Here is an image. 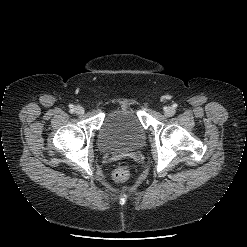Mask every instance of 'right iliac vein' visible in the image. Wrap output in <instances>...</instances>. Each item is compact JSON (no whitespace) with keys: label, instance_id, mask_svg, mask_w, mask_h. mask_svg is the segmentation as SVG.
Returning a JSON list of instances; mask_svg holds the SVG:
<instances>
[{"label":"right iliac vein","instance_id":"obj_1","mask_svg":"<svg viewBox=\"0 0 247 247\" xmlns=\"http://www.w3.org/2000/svg\"><path fill=\"white\" fill-rule=\"evenodd\" d=\"M75 113L78 115H82L84 113V109L81 106H76L75 107Z\"/></svg>","mask_w":247,"mask_h":247}]
</instances>
